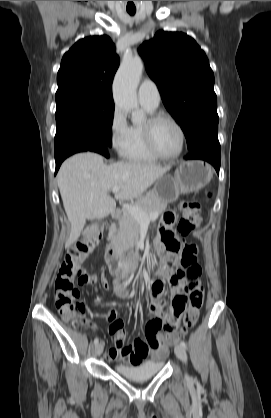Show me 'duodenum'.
Returning a JSON list of instances; mask_svg holds the SVG:
<instances>
[{
  "mask_svg": "<svg viewBox=\"0 0 271 418\" xmlns=\"http://www.w3.org/2000/svg\"><path fill=\"white\" fill-rule=\"evenodd\" d=\"M119 218V212L111 214L112 221H117ZM105 259L112 273H120L124 270L134 271L140 266L139 254L136 252L125 253L114 240L106 248Z\"/></svg>",
  "mask_w": 271,
  "mask_h": 418,
  "instance_id": "duodenum-1",
  "label": "duodenum"
}]
</instances>
